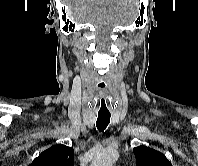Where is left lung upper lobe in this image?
Returning <instances> with one entry per match:
<instances>
[{
    "instance_id": "5c2ea615",
    "label": "left lung upper lobe",
    "mask_w": 198,
    "mask_h": 166,
    "mask_svg": "<svg viewBox=\"0 0 198 166\" xmlns=\"http://www.w3.org/2000/svg\"><path fill=\"white\" fill-rule=\"evenodd\" d=\"M136 166H172L164 154L144 145L133 149Z\"/></svg>"
}]
</instances>
